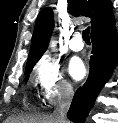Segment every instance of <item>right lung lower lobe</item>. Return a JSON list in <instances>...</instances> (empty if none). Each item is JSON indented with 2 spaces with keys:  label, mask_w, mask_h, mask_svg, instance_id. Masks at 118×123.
Wrapping results in <instances>:
<instances>
[{
  "label": "right lung lower lobe",
  "mask_w": 118,
  "mask_h": 123,
  "mask_svg": "<svg viewBox=\"0 0 118 123\" xmlns=\"http://www.w3.org/2000/svg\"><path fill=\"white\" fill-rule=\"evenodd\" d=\"M92 39V56L87 81L79 87L68 111L75 123H84L100 90L110 78L117 62V35L113 26L105 33Z\"/></svg>",
  "instance_id": "98d812e1"
}]
</instances>
